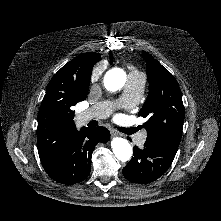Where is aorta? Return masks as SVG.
Instances as JSON below:
<instances>
[{"instance_id":"obj_1","label":"aorta","mask_w":221,"mask_h":221,"mask_svg":"<svg viewBox=\"0 0 221 221\" xmlns=\"http://www.w3.org/2000/svg\"><path fill=\"white\" fill-rule=\"evenodd\" d=\"M125 80L126 75L122 70L112 69L104 77V86L107 90L114 92L124 85ZM111 147L114 155L121 162L129 161L132 157V147L124 138H114L111 142Z\"/></svg>"}]
</instances>
